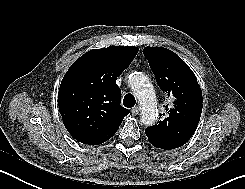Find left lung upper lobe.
<instances>
[{"mask_svg": "<svg viewBox=\"0 0 245 189\" xmlns=\"http://www.w3.org/2000/svg\"><path fill=\"white\" fill-rule=\"evenodd\" d=\"M143 54L149 62L157 84L172 100V107L162 120L146 128L149 142L170 150L184 145L195 132L202 112V93L188 65L174 52L162 47H145Z\"/></svg>", "mask_w": 245, "mask_h": 189, "instance_id": "1", "label": "left lung upper lobe"}]
</instances>
